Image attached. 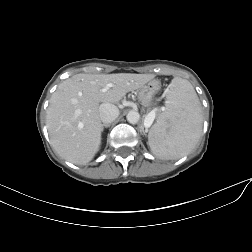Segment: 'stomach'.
Here are the masks:
<instances>
[{
    "label": "stomach",
    "instance_id": "obj_1",
    "mask_svg": "<svg viewBox=\"0 0 252 252\" xmlns=\"http://www.w3.org/2000/svg\"><path fill=\"white\" fill-rule=\"evenodd\" d=\"M160 89L161 83L158 80L149 81L138 90L139 101L144 106H149Z\"/></svg>",
    "mask_w": 252,
    "mask_h": 252
}]
</instances>
